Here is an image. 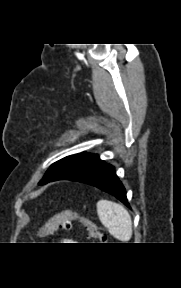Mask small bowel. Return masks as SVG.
Masks as SVG:
<instances>
[{
	"mask_svg": "<svg viewBox=\"0 0 181 288\" xmlns=\"http://www.w3.org/2000/svg\"><path fill=\"white\" fill-rule=\"evenodd\" d=\"M65 242H73L72 240H65Z\"/></svg>",
	"mask_w": 181,
	"mask_h": 288,
	"instance_id": "obj_1",
	"label": "small bowel"
}]
</instances>
